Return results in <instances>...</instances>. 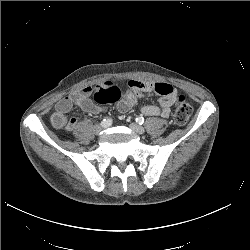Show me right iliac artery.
Masks as SVG:
<instances>
[{"label": "right iliac artery", "mask_w": 250, "mask_h": 250, "mask_svg": "<svg viewBox=\"0 0 250 250\" xmlns=\"http://www.w3.org/2000/svg\"><path fill=\"white\" fill-rule=\"evenodd\" d=\"M112 123V120L111 119H103V121L101 122V125L105 128V127H108L110 126Z\"/></svg>", "instance_id": "82829eb1"}]
</instances>
